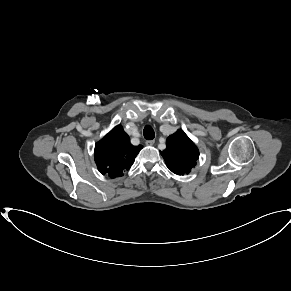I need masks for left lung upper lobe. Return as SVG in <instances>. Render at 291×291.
<instances>
[{
    "mask_svg": "<svg viewBox=\"0 0 291 291\" xmlns=\"http://www.w3.org/2000/svg\"><path fill=\"white\" fill-rule=\"evenodd\" d=\"M166 149L160 152L167 167L177 175L188 174L196 165L199 151L183 130L169 136Z\"/></svg>",
    "mask_w": 291,
    "mask_h": 291,
    "instance_id": "obj_1",
    "label": "left lung upper lobe"
}]
</instances>
